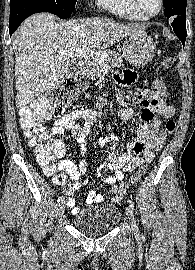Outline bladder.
Here are the masks:
<instances>
[{
    "mask_svg": "<svg viewBox=\"0 0 195 270\" xmlns=\"http://www.w3.org/2000/svg\"><path fill=\"white\" fill-rule=\"evenodd\" d=\"M120 210L113 204L91 206L73 219L74 226L83 233L100 235L112 230L119 222Z\"/></svg>",
    "mask_w": 195,
    "mask_h": 270,
    "instance_id": "bladder-1",
    "label": "bladder"
}]
</instances>
